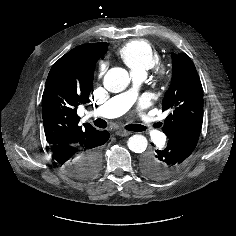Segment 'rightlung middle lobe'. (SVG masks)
Listing matches in <instances>:
<instances>
[{
    "instance_id": "right-lung-middle-lobe-1",
    "label": "right lung middle lobe",
    "mask_w": 236,
    "mask_h": 236,
    "mask_svg": "<svg viewBox=\"0 0 236 236\" xmlns=\"http://www.w3.org/2000/svg\"><path fill=\"white\" fill-rule=\"evenodd\" d=\"M100 153V151H99ZM101 162L98 161L96 155H88L84 166V174L81 179H88L94 177L100 170Z\"/></svg>"
}]
</instances>
